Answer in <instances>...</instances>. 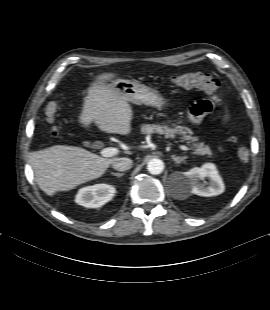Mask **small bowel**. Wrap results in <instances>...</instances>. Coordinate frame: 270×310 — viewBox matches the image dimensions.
Listing matches in <instances>:
<instances>
[{
  "mask_svg": "<svg viewBox=\"0 0 270 310\" xmlns=\"http://www.w3.org/2000/svg\"><path fill=\"white\" fill-rule=\"evenodd\" d=\"M202 116H204V115H203V114H200V113L195 109V107L193 106V108H192V110H191V114H190L191 119H192L194 122H198V121L201 119ZM227 119H228V115L225 114L223 120H224V121H227Z\"/></svg>",
  "mask_w": 270,
  "mask_h": 310,
  "instance_id": "obj_1",
  "label": "small bowel"
}]
</instances>
